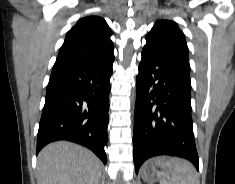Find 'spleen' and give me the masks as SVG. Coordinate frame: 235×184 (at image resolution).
<instances>
[{"label": "spleen", "instance_id": "spleen-1", "mask_svg": "<svg viewBox=\"0 0 235 184\" xmlns=\"http://www.w3.org/2000/svg\"><path fill=\"white\" fill-rule=\"evenodd\" d=\"M172 170L160 184H199L198 174L191 162L182 158H171Z\"/></svg>", "mask_w": 235, "mask_h": 184}]
</instances>
